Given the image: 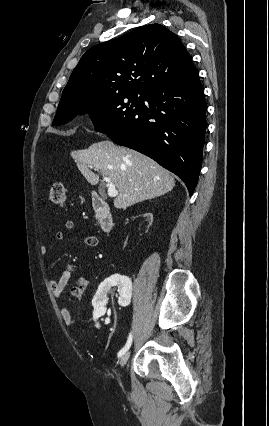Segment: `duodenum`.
I'll use <instances>...</instances> for the list:
<instances>
[{"instance_id":"1","label":"duodenum","mask_w":269,"mask_h":426,"mask_svg":"<svg viewBox=\"0 0 269 426\" xmlns=\"http://www.w3.org/2000/svg\"><path fill=\"white\" fill-rule=\"evenodd\" d=\"M91 205L99 227L106 234H110L114 229V220L104 196L100 193H94L91 197Z\"/></svg>"}]
</instances>
